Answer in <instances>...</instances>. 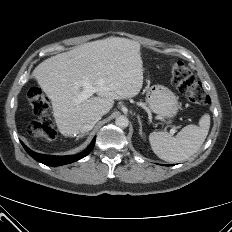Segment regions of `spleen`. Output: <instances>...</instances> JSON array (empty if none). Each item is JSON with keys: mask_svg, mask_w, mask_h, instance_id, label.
I'll use <instances>...</instances> for the list:
<instances>
[{"mask_svg": "<svg viewBox=\"0 0 232 232\" xmlns=\"http://www.w3.org/2000/svg\"><path fill=\"white\" fill-rule=\"evenodd\" d=\"M210 128V116L205 114L199 126L187 125L176 137L167 132H152L149 141L153 152L167 162H180L194 155L205 141Z\"/></svg>", "mask_w": 232, "mask_h": 232, "instance_id": "obj_1", "label": "spleen"}]
</instances>
